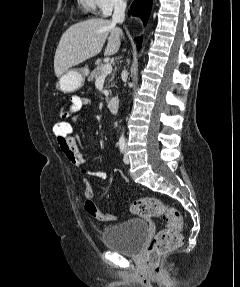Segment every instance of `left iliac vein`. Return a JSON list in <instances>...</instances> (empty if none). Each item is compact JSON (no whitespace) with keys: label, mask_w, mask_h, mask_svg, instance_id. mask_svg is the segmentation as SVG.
I'll return each mask as SVG.
<instances>
[{"label":"left iliac vein","mask_w":240,"mask_h":287,"mask_svg":"<svg viewBox=\"0 0 240 287\" xmlns=\"http://www.w3.org/2000/svg\"><path fill=\"white\" fill-rule=\"evenodd\" d=\"M123 160H124V163L125 164H129V157H128V154H127V149H125V154H124V158H123Z\"/></svg>","instance_id":"4c4485c4"}]
</instances>
